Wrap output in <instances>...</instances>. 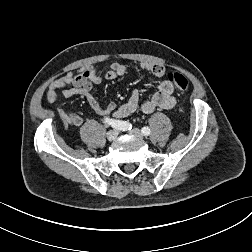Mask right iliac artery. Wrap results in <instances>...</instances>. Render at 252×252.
Returning <instances> with one entry per match:
<instances>
[{
    "instance_id": "1",
    "label": "right iliac artery",
    "mask_w": 252,
    "mask_h": 252,
    "mask_svg": "<svg viewBox=\"0 0 252 252\" xmlns=\"http://www.w3.org/2000/svg\"><path fill=\"white\" fill-rule=\"evenodd\" d=\"M105 122L111 125L114 129L120 130V131H128V130H131L132 128V125L126 121H116L113 119H106Z\"/></svg>"
}]
</instances>
